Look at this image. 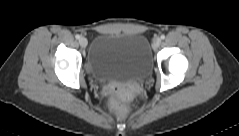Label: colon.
<instances>
[{
	"label": "colon",
	"instance_id": "5ec220e1",
	"mask_svg": "<svg viewBox=\"0 0 239 136\" xmlns=\"http://www.w3.org/2000/svg\"><path fill=\"white\" fill-rule=\"evenodd\" d=\"M127 90H128L127 87H124V86L114 88L113 89V100L120 102L123 93Z\"/></svg>",
	"mask_w": 239,
	"mask_h": 136
}]
</instances>
